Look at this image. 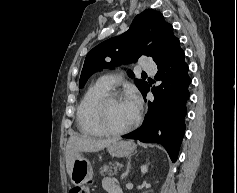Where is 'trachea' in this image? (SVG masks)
I'll use <instances>...</instances> for the list:
<instances>
[{"mask_svg": "<svg viewBox=\"0 0 237 193\" xmlns=\"http://www.w3.org/2000/svg\"><path fill=\"white\" fill-rule=\"evenodd\" d=\"M143 76H146L147 74L145 72L142 73Z\"/></svg>", "mask_w": 237, "mask_h": 193, "instance_id": "obj_1", "label": "trachea"}]
</instances>
